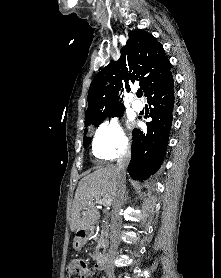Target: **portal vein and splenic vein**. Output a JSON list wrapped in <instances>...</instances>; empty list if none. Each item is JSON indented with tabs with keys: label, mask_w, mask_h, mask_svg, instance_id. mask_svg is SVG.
I'll list each match as a JSON object with an SVG mask.
<instances>
[{
	"label": "portal vein and splenic vein",
	"mask_w": 221,
	"mask_h": 278,
	"mask_svg": "<svg viewBox=\"0 0 221 278\" xmlns=\"http://www.w3.org/2000/svg\"><path fill=\"white\" fill-rule=\"evenodd\" d=\"M97 203L109 207L111 205V201L108 199H97Z\"/></svg>",
	"instance_id": "obj_1"
}]
</instances>
